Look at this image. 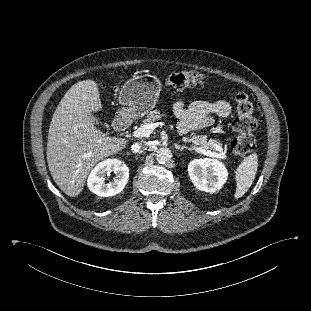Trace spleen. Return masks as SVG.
I'll use <instances>...</instances> for the list:
<instances>
[{
  "instance_id": "1",
  "label": "spleen",
  "mask_w": 311,
  "mask_h": 311,
  "mask_svg": "<svg viewBox=\"0 0 311 311\" xmlns=\"http://www.w3.org/2000/svg\"><path fill=\"white\" fill-rule=\"evenodd\" d=\"M258 167V156L253 153L246 157L235 171L236 191L234 198L242 197L251 187Z\"/></svg>"
}]
</instances>
